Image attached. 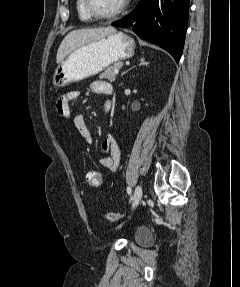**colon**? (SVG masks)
<instances>
[{
  "label": "colon",
  "instance_id": "5ec220e1",
  "mask_svg": "<svg viewBox=\"0 0 240 287\" xmlns=\"http://www.w3.org/2000/svg\"><path fill=\"white\" fill-rule=\"evenodd\" d=\"M84 178L87 184L93 189L100 188L104 179L102 172L94 168H85ZM104 217L108 221L116 222L121 218V215L116 212H106Z\"/></svg>",
  "mask_w": 240,
  "mask_h": 287
}]
</instances>
